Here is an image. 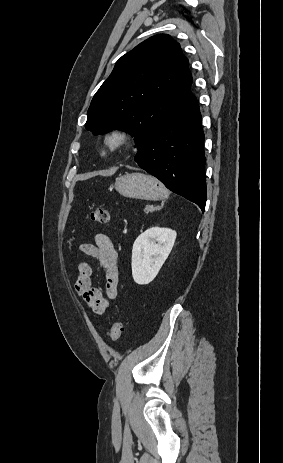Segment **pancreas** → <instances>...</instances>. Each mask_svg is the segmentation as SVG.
Here are the masks:
<instances>
[{
    "label": "pancreas",
    "mask_w": 283,
    "mask_h": 463,
    "mask_svg": "<svg viewBox=\"0 0 283 463\" xmlns=\"http://www.w3.org/2000/svg\"><path fill=\"white\" fill-rule=\"evenodd\" d=\"M155 210H156V208L153 207V206H150V205H146V207H145V209H144V211H145L146 213L154 212Z\"/></svg>",
    "instance_id": "cf45deb5"
}]
</instances>
